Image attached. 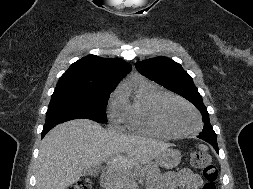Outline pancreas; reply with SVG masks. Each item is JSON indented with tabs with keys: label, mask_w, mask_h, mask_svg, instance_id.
<instances>
[{
	"label": "pancreas",
	"mask_w": 253,
	"mask_h": 189,
	"mask_svg": "<svg viewBox=\"0 0 253 189\" xmlns=\"http://www.w3.org/2000/svg\"><path fill=\"white\" fill-rule=\"evenodd\" d=\"M144 174L148 181L153 182L160 177V169L158 166H147L144 169ZM132 185V175L128 172L120 171L112 177L107 189H131Z\"/></svg>",
	"instance_id": "pancreas-1"
}]
</instances>
